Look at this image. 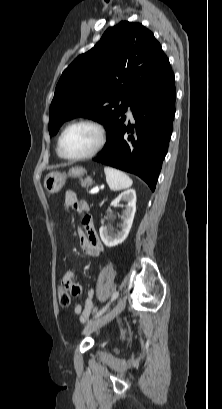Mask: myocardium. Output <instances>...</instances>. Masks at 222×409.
I'll list each match as a JSON object with an SVG mask.
<instances>
[{"mask_svg":"<svg viewBox=\"0 0 222 409\" xmlns=\"http://www.w3.org/2000/svg\"><path fill=\"white\" fill-rule=\"evenodd\" d=\"M79 125H88V126L95 128L99 135L98 143L95 146V148L91 150L89 153L79 155V156L66 155L63 151V146H62L63 138L68 130H70L71 128L75 126H79ZM106 142H107V130L101 122L97 120H93V119H81V120H77V121L70 123L63 129L58 139V153L62 158L66 160H70V161L85 160V159H89V158L96 156L104 148Z\"/></svg>","mask_w":222,"mask_h":409,"instance_id":"1","label":"myocardium"}]
</instances>
